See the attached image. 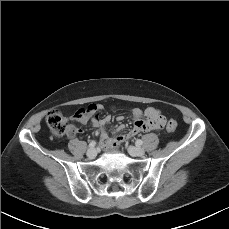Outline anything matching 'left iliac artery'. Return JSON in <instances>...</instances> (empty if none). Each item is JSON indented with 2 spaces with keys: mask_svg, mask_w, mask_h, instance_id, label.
I'll list each match as a JSON object with an SVG mask.
<instances>
[{
  "mask_svg": "<svg viewBox=\"0 0 229 229\" xmlns=\"http://www.w3.org/2000/svg\"><path fill=\"white\" fill-rule=\"evenodd\" d=\"M142 144H143V141H142L141 139H138V140L136 141V145L140 146V145H142Z\"/></svg>",
  "mask_w": 229,
  "mask_h": 229,
  "instance_id": "1",
  "label": "left iliac artery"
}]
</instances>
